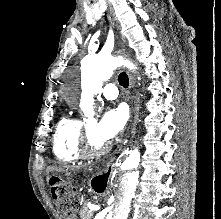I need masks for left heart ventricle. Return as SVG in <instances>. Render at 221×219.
<instances>
[{
  "mask_svg": "<svg viewBox=\"0 0 221 219\" xmlns=\"http://www.w3.org/2000/svg\"><path fill=\"white\" fill-rule=\"evenodd\" d=\"M88 127H89V129H90V134H91V139H92V141H93L95 144H99L100 142H102V141H100V140L96 137V135H95L94 123H89V124H88Z\"/></svg>",
  "mask_w": 221,
  "mask_h": 219,
  "instance_id": "obj_1",
  "label": "left heart ventricle"
}]
</instances>
